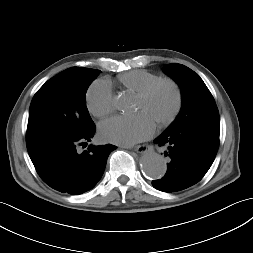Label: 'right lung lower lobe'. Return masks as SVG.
<instances>
[{
	"mask_svg": "<svg viewBox=\"0 0 253 253\" xmlns=\"http://www.w3.org/2000/svg\"><path fill=\"white\" fill-rule=\"evenodd\" d=\"M95 127L84 135L53 145L31 157L42 180L55 190L72 195L92 189L101 179L107 158L116 146L107 144L93 146L80 152L79 145L91 141Z\"/></svg>",
	"mask_w": 253,
	"mask_h": 253,
	"instance_id": "obj_1",
	"label": "right lung lower lobe"
}]
</instances>
